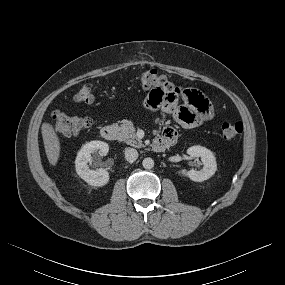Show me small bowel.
<instances>
[{
  "mask_svg": "<svg viewBox=\"0 0 285 285\" xmlns=\"http://www.w3.org/2000/svg\"><path fill=\"white\" fill-rule=\"evenodd\" d=\"M144 105L160 113H170L178 124L187 129L210 121L214 115L211 102L199 90L187 88L182 94L164 83L149 87ZM157 138H163L172 144L177 138V131L166 126L158 133Z\"/></svg>",
  "mask_w": 285,
  "mask_h": 285,
  "instance_id": "small-bowel-1",
  "label": "small bowel"
}]
</instances>
